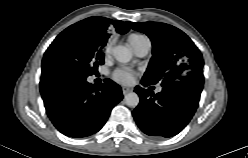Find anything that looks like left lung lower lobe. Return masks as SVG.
Masks as SVG:
<instances>
[{
  "label": "left lung lower lobe",
  "mask_w": 248,
  "mask_h": 158,
  "mask_svg": "<svg viewBox=\"0 0 248 158\" xmlns=\"http://www.w3.org/2000/svg\"><path fill=\"white\" fill-rule=\"evenodd\" d=\"M141 83L151 85L143 80ZM202 88L200 82L178 81L154 94L137 86L135 92L140 103L132 114L138 127L150 136L168 138L177 135L193 117Z\"/></svg>",
  "instance_id": "1"
}]
</instances>
